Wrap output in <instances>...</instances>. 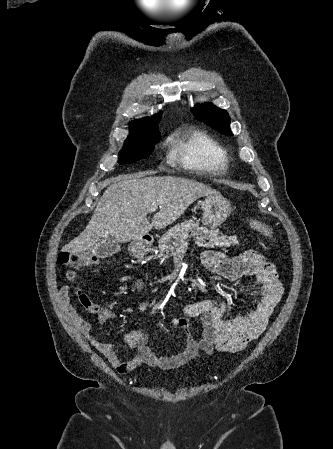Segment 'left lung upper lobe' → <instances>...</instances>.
<instances>
[{"label":"left lung upper lobe","instance_id":"1","mask_svg":"<svg viewBox=\"0 0 333 449\" xmlns=\"http://www.w3.org/2000/svg\"><path fill=\"white\" fill-rule=\"evenodd\" d=\"M194 116L225 135H232L228 113L212 104L196 105L191 109Z\"/></svg>","mask_w":333,"mask_h":449}]
</instances>
